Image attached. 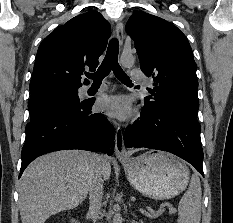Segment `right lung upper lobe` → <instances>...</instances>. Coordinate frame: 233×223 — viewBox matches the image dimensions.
Returning a JSON list of instances; mask_svg holds the SVG:
<instances>
[{
	"label": "right lung upper lobe",
	"instance_id": "obj_1",
	"mask_svg": "<svg viewBox=\"0 0 233 223\" xmlns=\"http://www.w3.org/2000/svg\"><path fill=\"white\" fill-rule=\"evenodd\" d=\"M110 36V24L97 11L78 15L56 28L40 44L31 94L56 88H79L85 68L94 71ZM88 84V80H85Z\"/></svg>",
	"mask_w": 233,
	"mask_h": 223
}]
</instances>
